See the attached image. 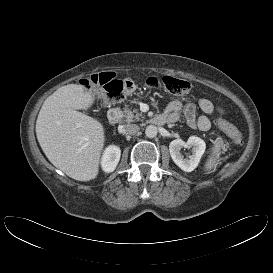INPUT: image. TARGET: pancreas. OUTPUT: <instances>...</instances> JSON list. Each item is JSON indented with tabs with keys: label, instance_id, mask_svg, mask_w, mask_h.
<instances>
[{
	"label": "pancreas",
	"instance_id": "cf45deb5",
	"mask_svg": "<svg viewBox=\"0 0 273 273\" xmlns=\"http://www.w3.org/2000/svg\"><path fill=\"white\" fill-rule=\"evenodd\" d=\"M124 121L130 123V122H135V121H142L144 119V116L142 113H137L136 109H129L128 107L124 108ZM136 113V114H135Z\"/></svg>",
	"mask_w": 273,
	"mask_h": 273
}]
</instances>
